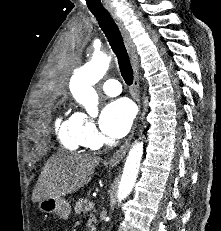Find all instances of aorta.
Listing matches in <instances>:
<instances>
[{"label": "aorta", "mask_w": 221, "mask_h": 231, "mask_svg": "<svg viewBox=\"0 0 221 231\" xmlns=\"http://www.w3.org/2000/svg\"><path fill=\"white\" fill-rule=\"evenodd\" d=\"M111 62V56L97 51L90 62L79 69L70 80V91L74 99L84 106L88 114L98 113V95L93 86L105 75ZM143 142L135 141L131 147L124 165L122 177L118 186L117 199L121 203L132 191L143 156Z\"/></svg>", "instance_id": "1"}]
</instances>
